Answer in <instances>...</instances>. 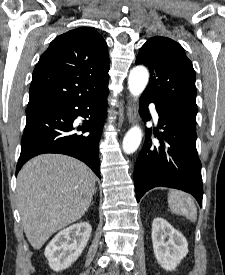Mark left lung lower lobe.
Here are the masks:
<instances>
[{"label": "left lung lower lobe", "instance_id": "1", "mask_svg": "<svg viewBox=\"0 0 225 275\" xmlns=\"http://www.w3.org/2000/svg\"><path fill=\"white\" fill-rule=\"evenodd\" d=\"M154 103L159 115V128L154 132L157 143L151 140V129L134 168L137 202L148 190L164 186L191 193L202 205L203 184L201 162L196 150V117L165 105L153 97L142 94L139 112L145 118L148 104Z\"/></svg>", "mask_w": 225, "mask_h": 275}]
</instances>
